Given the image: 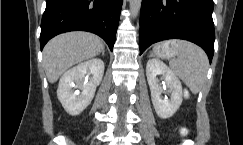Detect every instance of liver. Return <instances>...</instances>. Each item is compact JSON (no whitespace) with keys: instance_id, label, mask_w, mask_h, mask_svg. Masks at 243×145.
I'll use <instances>...</instances> for the list:
<instances>
[{"instance_id":"obj_1","label":"liver","mask_w":243,"mask_h":145,"mask_svg":"<svg viewBox=\"0 0 243 145\" xmlns=\"http://www.w3.org/2000/svg\"><path fill=\"white\" fill-rule=\"evenodd\" d=\"M102 49L101 39L87 32H70L51 39L43 50L48 81L56 82L67 69L99 55Z\"/></svg>"}]
</instances>
